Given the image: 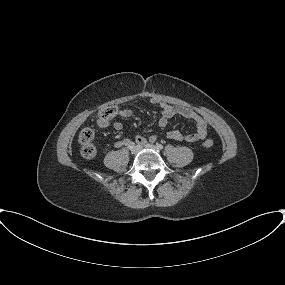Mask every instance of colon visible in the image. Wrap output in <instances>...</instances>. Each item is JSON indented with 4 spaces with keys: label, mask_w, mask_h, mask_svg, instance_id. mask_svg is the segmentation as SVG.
<instances>
[{
    "label": "colon",
    "mask_w": 285,
    "mask_h": 285,
    "mask_svg": "<svg viewBox=\"0 0 285 285\" xmlns=\"http://www.w3.org/2000/svg\"><path fill=\"white\" fill-rule=\"evenodd\" d=\"M117 109L115 107H108L99 113L101 119L108 121L115 116ZM79 143L81 145V154L85 158H92L97 152V145L94 141V131L90 128H85L79 133ZM204 146L211 148L213 141L205 140Z\"/></svg>",
    "instance_id": "colon-1"
}]
</instances>
